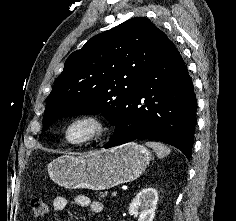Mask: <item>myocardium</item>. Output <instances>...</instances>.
Returning a JSON list of instances; mask_svg holds the SVG:
<instances>
[{
  "mask_svg": "<svg viewBox=\"0 0 236 221\" xmlns=\"http://www.w3.org/2000/svg\"><path fill=\"white\" fill-rule=\"evenodd\" d=\"M88 124L90 126V132L87 136L72 140L69 137V131L76 125ZM110 130V125L108 121L99 114L96 113H85L77 115L71 118L62 129V136L64 141L70 146H83L90 144L103 138Z\"/></svg>",
  "mask_w": 236,
  "mask_h": 221,
  "instance_id": "f54148a6",
  "label": "myocardium"
}]
</instances>
